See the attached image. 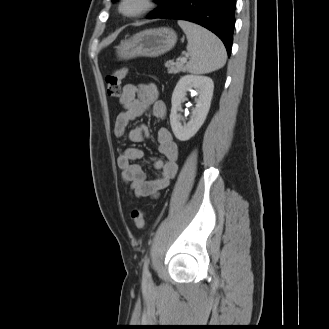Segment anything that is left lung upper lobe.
<instances>
[{
	"mask_svg": "<svg viewBox=\"0 0 329 329\" xmlns=\"http://www.w3.org/2000/svg\"><path fill=\"white\" fill-rule=\"evenodd\" d=\"M112 1H116V0H112ZM159 1H160V0H155V2H157V3H158Z\"/></svg>",
	"mask_w": 329,
	"mask_h": 329,
	"instance_id": "obj_1",
	"label": "left lung upper lobe"
}]
</instances>
